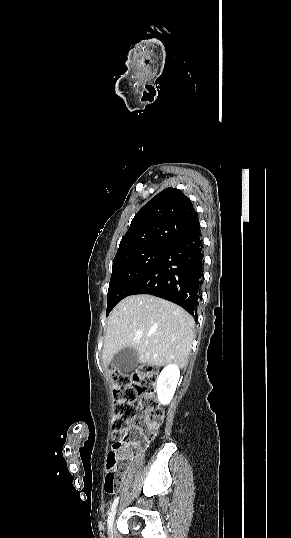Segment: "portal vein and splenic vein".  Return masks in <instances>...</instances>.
Segmentation results:
<instances>
[{
    "label": "portal vein and splenic vein",
    "mask_w": 291,
    "mask_h": 538,
    "mask_svg": "<svg viewBox=\"0 0 291 538\" xmlns=\"http://www.w3.org/2000/svg\"><path fill=\"white\" fill-rule=\"evenodd\" d=\"M136 334H137L138 336H141V335H142V333L139 332V331H136Z\"/></svg>",
    "instance_id": "obj_1"
}]
</instances>
